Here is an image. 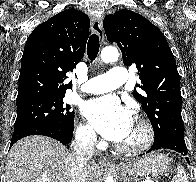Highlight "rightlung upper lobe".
<instances>
[{
	"instance_id": "cb5924a9",
	"label": "right lung upper lobe",
	"mask_w": 196,
	"mask_h": 182,
	"mask_svg": "<svg viewBox=\"0 0 196 182\" xmlns=\"http://www.w3.org/2000/svg\"><path fill=\"white\" fill-rule=\"evenodd\" d=\"M90 20L74 9L64 10L40 24L26 41L16 104L65 95L73 71L85 52Z\"/></svg>"
}]
</instances>
